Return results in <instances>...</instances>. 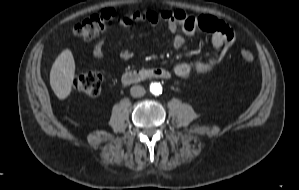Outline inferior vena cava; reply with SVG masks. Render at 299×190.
<instances>
[{
	"label": "inferior vena cava",
	"instance_id": "obj_1",
	"mask_svg": "<svg viewBox=\"0 0 299 190\" xmlns=\"http://www.w3.org/2000/svg\"><path fill=\"white\" fill-rule=\"evenodd\" d=\"M130 93L133 97H142L145 95L146 91L142 86H133L130 89Z\"/></svg>",
	"mask_w": 299,
	"mask_h": 190
}]
</instances>
